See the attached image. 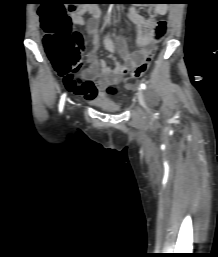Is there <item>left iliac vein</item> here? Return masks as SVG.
Wrapping results in <instances>:
<instances>
[{
    "instance_id": "obj_1",
    "label": "left iliac vein",
    "mask_w": 218,
    "mask_h": 257,
    "mask_svg": "<svg viewBox=\"0 0 218 257\" xmlns=\"http://www.w3.org/2000/svg\"><path fill=\"white\" fill-rule=\"evenodd\" d=\"M136 96L140 102V104L148 110V107H147V104H146V101H145V97H144V92L143 90L140 88L138 89L137 93H136Z\"/></svg>"
}]
</instances>
